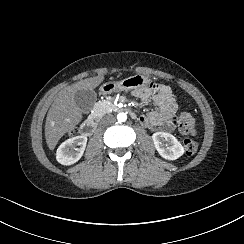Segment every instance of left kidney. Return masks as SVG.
<instances>
[{
  "instance_id": "left-kidney-1",
  "label": "left kidney",
  "mask_w": 244,
  "mask_h": 244,
  "mask_svg": "<svg viewBox=\"0 0 244 244\" xmlns=\"http://www.w3.org/2000/svg\"><path fill=\"white\" fill-rule=\"evenodd\" d=\"M152 140L158 154L165 160L175 161L185 153L182 143L170 133H153Z\"/></svg>"
}]
</instances>
